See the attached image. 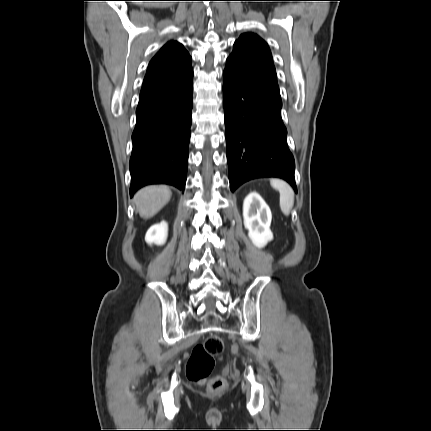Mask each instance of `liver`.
Here are the masks:
<instances>
[{
    "mask_svg": "<svg viewBox=\"0 0 431 431\" xmlns=\"http://www.w3.org/2000/svg\"><path fill=\"white\" fill-rule=\"evenodd\" d=\"M171 191L167 186H147L140 189L134 203L143 218H151L157 214L170 200Z\"/></svg>",
    "mask_w": 431,
    "mask_h": 431,
    "instance_id": "liver-1",
    "label": "liver"
}]
</instances>
